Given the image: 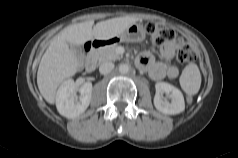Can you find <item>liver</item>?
<instances>
[{"instance_id": "liver-1", "label": "liver", "mask_w": 238, "mask_h": 158, "mask_svg": "<svg viewBox=\"0 0 238 158\" xmlns=\"http://www.w3.org/2000/svg\"><path fill=\"white\" fill-rule=\"evenodd\" d=\"M137 20L135 17H119L96 25L91 20L70 25L57 34L43 54L37 72V85L43 98L54 104L59 85L79 71L81 61L70 44L81 46L90 39H111Z\"/></svg>"}]
</instances>
